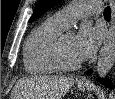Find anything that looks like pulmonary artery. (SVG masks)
<instances>
[{
    "mask_svg": "<svg viewBox=\"0 0 115 99\" xmlns=\"http://www.w3.org/2000/svg\"><path fill=\"white\" fill-rule=\"evenodd\" d=\"M101 12L100 1H80L56 12L50 19L63 28L69 27L78 19Z\"/></svg>",
    "mask_w": 115,
    "mask_h": 99,
    "instance_id": "pulmonary-artery-1",
    "label": "pulmonary artery"
}]
</instances>
